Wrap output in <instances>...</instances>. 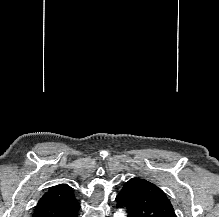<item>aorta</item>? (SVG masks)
I'll list each match as a JSON object with an SVG mask.
<instances>
[{"instance_id":"1","label":"aorta","mask_w":219,"mask_h":217,"mask_svg":"<svg viewBox=\"0 0 219 217\" xmlns=\"http://www.w3.org/2000/svg\"><path fill=\"white\" fill-rule=\"evenodd\" d=\"M114 217H126V212L124 209H119L115 212Z\"/></svg>"}]
</instances>
